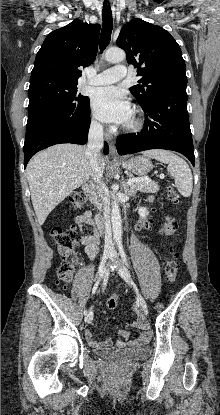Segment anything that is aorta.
I'll return each mask as SVG.
<instances>
[{"mask_svg": "<svg viewBox=\"0 0 220 415\" xmlns=\"http://www.w3.org/2000/svg\"><path fill=\"white\" fill-rule=\"evenodd\" d=\"M105 60L111 63H119L126 59V54L122 49L110 48L105 52ZM112 206H111V222L113 230V238L117 244L122 241V221L120 209L115 193L117 192V185L112 186Z\"/></svg>", "mask_w": 220, "mask_h": 415, "instance_id": "762f6f07", "label": "aorta"}]
</instances>
